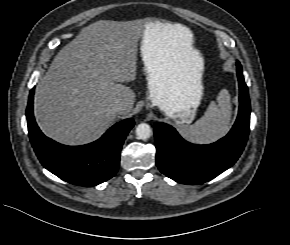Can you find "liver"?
<instances>
[{
	"instance_id": "obj_1",
	"label": "liver",
	"mask_w": 290,
	"mask_h": 245,
	"mask_svg": "<svg viewBox=\"0 0 290 245\" xmlns=\"http://www.w3.org/2000/svg\"><path fill=\"white\" fill-rule=\"evenodd\" d=\"M153 24L98 21L84 27L55 56L39 80L34 114L42 131L54 140L78 145L97 139L117 118L131 112L134 91L124 85L136 79L137 45ZM159 45H167L177 66L195 72L192 34L180 24L158 23ZM122 101V112L112 105Z\"/></svg>"
}]
</instances>
